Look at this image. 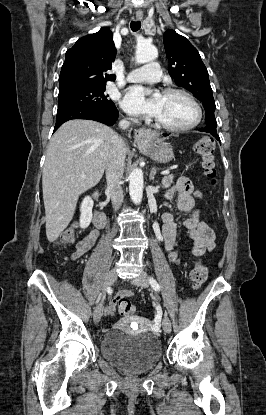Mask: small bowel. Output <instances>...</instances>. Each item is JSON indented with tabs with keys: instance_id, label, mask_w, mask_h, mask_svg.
<instances>
[{
	"instance_id": "c3829d8e",
	"label": "small bowel",
	"mask_w": 266,
	"mask_h": 415,
	"mask_svg": "<svg viewBox=\"0 0 266 415\" xmlns=\"http://www.w3.org/2000/svg\"><path fill=\"white\" fill-rule=\"evenodd\" d=\"M175 191L178 193L177 203L179 210L191 214L189 219L183 221V227L186 229L187 234L194 240L193 254L195 256H201L212 251L215 246V234L210 226L200 219L197 202L193 196L192 182L187 177H179L173 188L168 192L167 197L169 198ZM162 222V236L165 249L168 252L170 261L177 264L179 263V257L174 250L177 235L176 223L169 212L163 213ZM98 236L99 234L97 231H92L81 239L77 243L71 258L77 260L83 256L92 248ZM130 294V291L119 292L106 308V314H113L119 299L129 296Z\"/></svg>"
}]
</instances>
